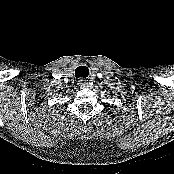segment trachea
I'll use <instances>...</instances> for the list:
<instances>
[{
    "label": "trachea",
    "mask_w": 174,
    "mask_h": 174,
    "mask_svg": "<svg viewBox=\"0 0 174 174\" xmlns=\"http://www.w3.org/2000/svg\"><path fill=\"white\" fill-rule=\"evenodd\" d=\"M89 75V69L86 66H79L75 69V77L78 78H86Z\"/></svg>",
    "instance_id": "1"
}]
</instances>
